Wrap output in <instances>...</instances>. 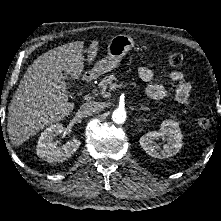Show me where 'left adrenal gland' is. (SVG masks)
<instances>
[{
    "label": "left adrenal gland",
    "mask_w": 221,
    "mask_h": 221,
    "mask_svg": "<svg viewBox=\"0 0 221 221\" xmlns=\"http://www.w3.org/2000/svg\"><path fill=\"white\" fill-rule=\"evenodd\" d=\"M140 110H144V111H147V110H150L149 108H145V107H142Z\"/></svg>",
    "instance_id": "left-adrenal-gland-1"
}]
</instances>
